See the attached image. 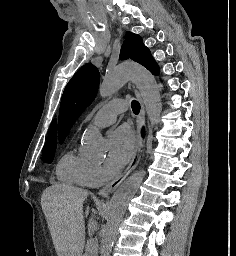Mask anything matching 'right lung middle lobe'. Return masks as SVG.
Instances as JSON below:
<instances>
[{"instance_id":"1","label":"right lung middle lobe","mask_w":236,"mask_h":256,"mask_svg":"<svg viewBox=\"0 0 236 256\" xmlns=\"http://www.w3.org/2000/svg\"><path fill=\"white\" fill-rule=\"evenodd\" d=\"M57 142H46L43 148L42 158L45 163H51L54 158Z\"/></svg>"}]
</instances>
